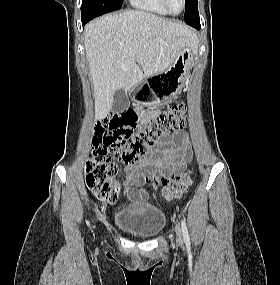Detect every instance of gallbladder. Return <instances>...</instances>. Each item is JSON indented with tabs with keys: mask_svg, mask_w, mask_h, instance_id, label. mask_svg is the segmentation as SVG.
Masks as SVG:
<instances>
[{
	"mask_svg": "<svg viewBox=\"0 0 280 285\" xmlns=\"http://www.w3.org/2000/svg\"><path fill=\"white\" fill-rule=\"evenodd\" d=\"M130 105L129 98L123 89H118L114 93L112 110L113 112H123Z\"/></svg>",
	"mask_w": 280,
	"mask_h": 285,
	"instance_id": "gallbladder-1",
	"label": "gallbladder"
}]
</instances>
